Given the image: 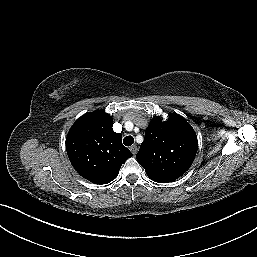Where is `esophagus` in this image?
Wrapping results in <instances>:
<instances>
[{
  "label": "esophagus",
  "mask_w": 257,
  "mask_h": 257,
  "mask_svg": "<svg viewBox=\"0 0 257 257\" xmlns=\"http://www.w3.org/2000/svg\"><path fill=\"white\" fill-rule=\"evenodd\" d=\"M130 150H131V152L135 155V154L137 153V151H138V148H137L136 145H132V146L130 147Z\"/></svg>",
  "instance_id": "34e87169"
}]
</instances>
